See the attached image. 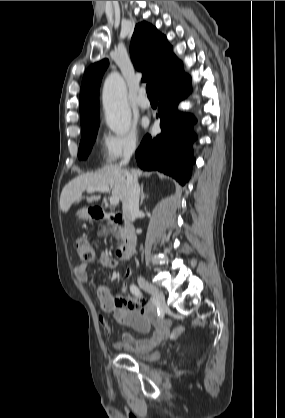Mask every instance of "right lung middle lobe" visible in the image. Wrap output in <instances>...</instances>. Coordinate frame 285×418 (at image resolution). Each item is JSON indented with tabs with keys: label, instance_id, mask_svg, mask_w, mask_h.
<instances>
[{
	"label": "right lung middle lobe",
	"instance_id": "right-lung-middle-lobe-1",
	"mask_svg": "<svg viewBox=\"0 0 285 418\" xmlns=\"http://www.w3.org/2000/svg\"><path fill=\"white\" fill-rule=\"evenodd\" d=\"M100 120L81 126L82 138L78 150V158L86 159L95 142Z\"/></svg>",
	"mask_w": 285,
	"mask_h": 418
}]
</instances>
